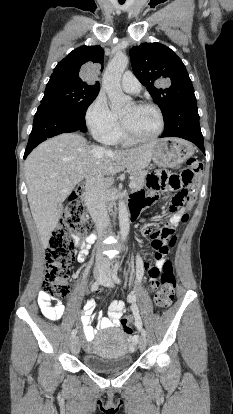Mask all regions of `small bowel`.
Here are the masks:
<instances>
[{
  "mask_svg": "<svg viewBox=\"0 0 233 414\" xmlns=\"http://www.w3.org/2000/svg\"><path fill=\"white\" fill-rule=\"evenodd\" d=\"M155 197V194L153 192L148 191V193H137L133 196L132 202H131V208L138 212L147 205V203L152 200V198ZM187 213V209L185 207H181L171 216L170 218V225L176 226L180 221H182V217L184 214ZM144 233H149L147 228H144ZM94 237L93 235L88 236L85 240L79 241V253H78V261L83 262L86 259L87 251L89 244L93 241ZM165 260V256H163L160 259H157L156 261V268L161 269L163 262ZM147 269L149 271V275L151 277L152 281V287L155 282V277L151 275L150 269L151 267L142 261L140 257L137 259V281L139 282L142 279L144 270ZM38 306L41 311V313L46 317L47 319L51 321H57L62 318L65 312L64 306L54 300L49 294L42 291L38 294ZM128 302L130 304V310L136 311L137 305L136 302V291H132L128 295ZM94 309H95V302L93 299H89L83 308V314L81 316V323L83 328V335L87 342H90L93 340L96 330L92 327L91 323L94 318ZM126 310V306L124 301L122 300H114L109 308H108V315L107 317H101L98 316V328L99 329H105L109 327H118L121 322V318ZM89 347L86 346V349Z\"/></svg>",
  "mask_w": 233,
  "mask_h": 414,
  "instance_id": "obj_1",
  "label": "small bowel"
}]
</instances>
